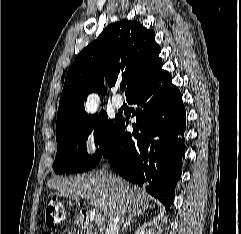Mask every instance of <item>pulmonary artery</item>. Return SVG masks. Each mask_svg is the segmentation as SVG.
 <instances>
[{"mask_svg":"<svg viewBox=\"0 0 241 234\" xmlns=\"http://www.w3.org/2000/svg\"><path fill=\"white\" fill-rule=\"evenodd\" d=\"M112 105H113L114 108L120 109L123 106V99H122V97L120 95H118V94H115L112 97Z\"/></svg>","mask_w":241,"mask_h":234,"instance_id":"e3ab8cb5","label":"pulmonary artery"}]
</instances>
